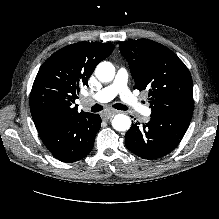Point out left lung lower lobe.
<instances>
[{
    "mask_svg": "<svg viewBox=\"0 0 219 219\" xmlns=\"http://www.w3.org/2000/svg\"><path fill=\"white\" fill-rule=\"evenodd\" d=\"M192 111L170 114H152L143 128L132 125L126 132L125 144L142 158L155 159L168 154L184 136Z\"/></svg>",
    "mask_w": 219,
    "mask_h": 219,
    "instance_id": "left-lung-lower-lobe-1",
    "label": "left lung lower lobe"
}]
</instances>
